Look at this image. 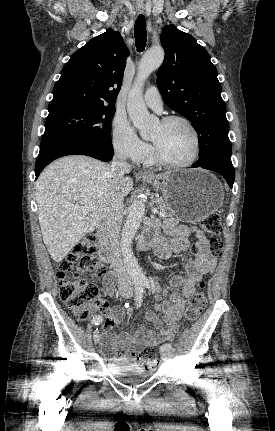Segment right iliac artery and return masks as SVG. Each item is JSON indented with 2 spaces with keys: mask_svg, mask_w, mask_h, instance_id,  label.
<instances>
[{
  "mask_svg": "<svg viewBox=\"0 0 275 431\" xmlns=\"http://www.w3.org/2000/svg\"><path fill=\"white\" fill-rule=\"evenodd\" d=\"M142 297H143V284L137 283L135 285V302H136L137 308L141 306ZM102 322H103V317L101 315L95 316L92 320V324L94 325H99ZM95 331H98V328Z\"/></svg>",
  "mask_w": 275,
  "mask_h": 431,
  "instance_id": "right-iliac-artery-1",
  "label": "right iliac artery"
}]
</instances>
